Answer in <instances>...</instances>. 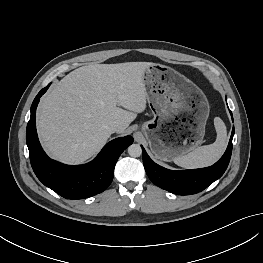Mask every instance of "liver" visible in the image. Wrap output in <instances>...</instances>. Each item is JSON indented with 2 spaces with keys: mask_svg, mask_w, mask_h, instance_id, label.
I'll return each mask as SVG.
<instances>
[{
  "mask_svg": "<svg viewBox=\"0 0 263 263\" xmlns=\"http://www.w3.org/2000/svg\"><path fill=\"white\" fill-rule=\"evenodd\" d=\"M152 64H91L66 75L38 108L37 129L46 151L59 161L78 164L108 140L107 124L118 123L117 132L123 133L146 109L143 75Z\"/></svg>",
  "mask_w": 263,
  "mask_h": 263,
  "instance_id": "1",
  "label": "liver"
}]
</instances>
